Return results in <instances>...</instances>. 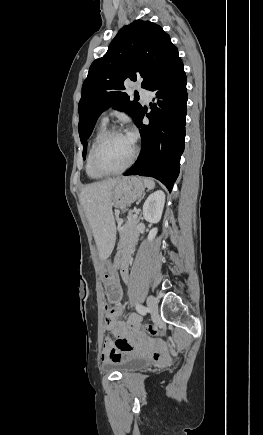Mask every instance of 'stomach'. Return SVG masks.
<instances>
[{"label":"stomach","mask_w":263,"mask_h":435,"mask_svg":"<svg viewBox=\"0 0 263 435\" xmlns=\"http://www.w3.org/2000/svg\"><path fill=\"white\" fill-rule=\"evenodd\" d=\"M145 191V184L139 177L121 178L112 189V205L120 210H125L134 201L139 199ZM122 261H112L109 264L103 261V273L101 280L104 282V294L107 305H122L125 285H122L120 278L125 272Z\"/></svg>","instance_id":"obj_1"}]
</instances>
